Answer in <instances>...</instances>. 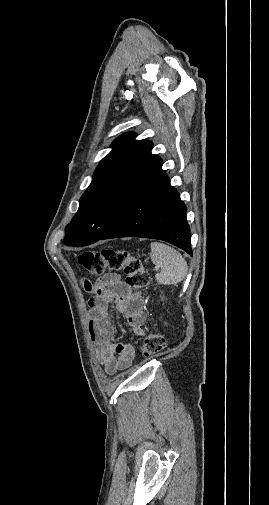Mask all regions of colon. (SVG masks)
<instances>
[{
	"mask_svg": "<svg viewBox=\"0 0 269 505\" xmlns=\"http://www.w3.org/2000/svg\"><path fill=\"white\" fill-rule=\"evenodd\" d=\"M82 268L90 273L93 281H102L104 272L123 271L127 285L134 289L145 288L150 282V276L140 259L125 250L104 249L101 251H85L78 256ZM165 347L164 336L158 332H150L141 346V353L153 356Z\"/></svg>",
	"mask_w": 269,
	"mask_h": 505,
	"instance_id": "obj_1",
	"label": "colon"
}]
</instances>
